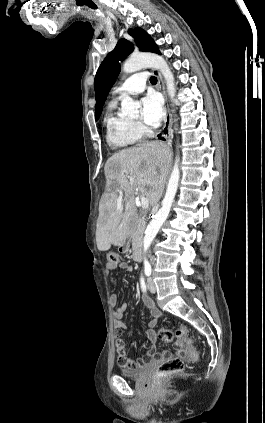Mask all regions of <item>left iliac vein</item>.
Returning a JSON list of instances; mask_svg holds the SVG:
<instances>
[{"mask_svg":"<svg viewBox=\"0 0 265 423\" xmlns=\"http://www.w3.org/2000/svg\"><path fill=\"white\" fill-rule=\"evenodd\" d=\"M147 283H148V289L151 293H155L156 292V287L155 284L153 282V280L151 278L147 279Z\"/></svg>","mask_w":265,"mask_h":423,"instance_id":"1","label":"left iliac vein"}]
</instances>
